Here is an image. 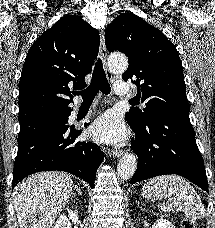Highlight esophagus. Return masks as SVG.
Masks as SVG:
<instances>
[{
    "instance_id": "esophagus-1",
    "label": "esophagus",
    "mask_w": 215,
    "mask_h": 228,
    "mask_svg": "<svg viewBox=\"0 0 215 228\" xmlns=\"http://www.w3.org/2000/svg\"><path fill=\"white\" fill-rule=\"evenodd\" d=\"M100 56H101V60L104 66V70L106 72L107 78L109 80H112L113 76L111 71L108 68L107 65V49H106V44H105V38H104V32L101 31L100 32ZM124 154V150H116L113 152V155H115L116 157H121Z\"/></svg>"
}]
</instances>
